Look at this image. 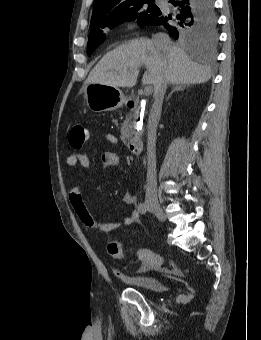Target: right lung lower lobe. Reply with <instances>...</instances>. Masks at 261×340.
I'll list each match as a JSON object with an SVG mask.
<instances>
[{
	"label": "right lung lower lobe",
	"mask_w": 261,
	"mask_h": 340,
	"mask_svg": "<svg viewBox=\"0 0 261 340\" xmlns=\"http://www.w3.org/2000/svg\"><path fill=\"white\" fill-rule=\"evenodd\" d=\"M171 10H160L151 25L164 26L170 36L176 39L174 23L179 22L194 10L199 14H215L214 0H169Z\"/></svg>",
	"instance_id": "1"
}]
</instances>
